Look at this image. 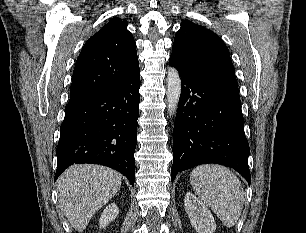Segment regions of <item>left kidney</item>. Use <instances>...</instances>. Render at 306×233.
Masks as SVG:
<instances>
[{
  "label": "left kidney",
  "instance_id": "1",
  "mask_svg": "<svg viewBox=\"0 0 306 233\" xmlns=\"http://www.w3.org/2000/svg\"><path fill=\"white\" fill-rule=\"evenodd\" d=\"M186 213L198 233H214L216 224L207 206L193 193L187 192L184 199Z\"/></svg>",
  "mask_w": 306,
  "mask_h": 233
}]
</instances>
